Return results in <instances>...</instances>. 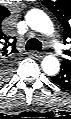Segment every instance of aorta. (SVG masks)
I'll return each instance as SVG.
<instances>
[{
    "label": "aorta",
    "instance_id": "obj_1",
    "mask_svg": "<svg viewBox=\"0 0 71 119\" xmlns=\"http://www.w3.org/2000/svg\"><path fill=\"white\" fill-rule=\"evenodd\" d=\"M26 22L28 26L35 31L44 34L53 33L54 27L52 21L46 13L39 9L30 10L26 15ZM41 66L43 71L50 76L56 75L60 69L58 59L51 55L43 59Z\"/></svg>",
    "mask_w": 71,
    "mask_h": 119
}]
</instances>
